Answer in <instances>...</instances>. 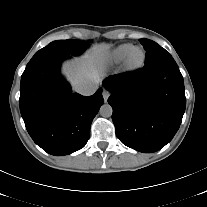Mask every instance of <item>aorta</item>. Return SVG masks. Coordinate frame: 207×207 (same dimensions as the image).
Instances as JSON below:
<instances>
[{"label":"aorta","mask_w":207,"mask_h":207,"mask_svg":"<svg viewBox=\"0 0 207 207\" xmlns=\"http://www.w3.org/2000/svg\"><path fill=\"white\" fill-rule=\"evenodd\" d=\"M99 113L103 117H110L113 113V109L109 104H103L100 107Z\"/></svg>","instance_id":"1"}]
</instances>
